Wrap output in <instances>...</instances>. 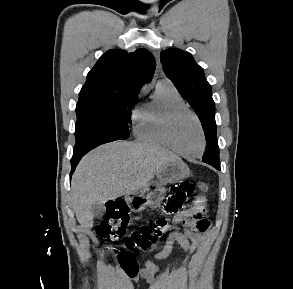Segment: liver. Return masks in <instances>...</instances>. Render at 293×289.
<instances>
[{
	"mask_svg": "<svg viewBox=\"0 0 293 289\" xmlns=\"http://www.w3.org/2000/svg\"><path fill=\"white\" fill-rule=\"evenodd\" d=\"M176 154L147 143L116 141L102 145L79 163L72 177V204L80 225H93L91 207L126 194H135Z\"/></svg>",
	"mask_w": 293,
	"mask_h": 289,
	"instance_id": "6515ba94",
	"label": "liver"
}]
</instances>
